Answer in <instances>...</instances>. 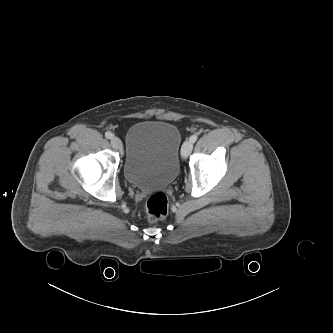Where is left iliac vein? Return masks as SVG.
Instances as JSON below:
<instances>
[{"label":"left iliac vein","mask_w":333,"mask_h":333,"mask_svg":"<svg viewBox=\"0 0 333 333\" xmlns=\"http://www.w3.org/2000/svg\"><path fill=\"white\" fill-rule=\"evenodd\" d=\"M192 149H193V143L190 140L184 142L181 148L182 158L186 159L191 153Z\"/></svg>","instance_id":"4c4485c4"}]
</instances>
